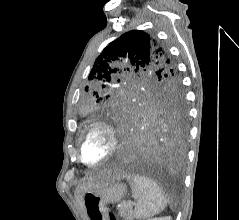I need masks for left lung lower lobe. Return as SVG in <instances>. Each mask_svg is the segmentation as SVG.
Segmentation results:
<instances>
[{"label": "left lung lower lobe", "mask_w": 239, "mask_h": 220, "mask_svg": "<svg viewBox=\"0 0 239 220\" xmlns=\"http://www.w3.org/2000/svg\"><path fill=\"white\" fill-rule=\"evenodd\" d=\"M99 120L112 124L121 138L118 162L176 165L184 159L186 110L118 111L104 114Z\"/></svg>", "instance_id": "obj_1"}]
</instances>
